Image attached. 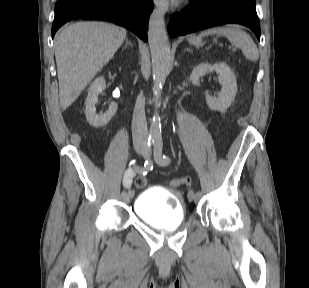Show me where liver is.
I'll return each mask as SVG.
<instances>
[{"instance_id":"6515ba94","label":"liver","mask_w":309,"mask_h":288,"mask_svg":"<svg viewBox=\"0 0 309 288\" xmlns=\"http://www.w3.org/2000/svg\"><path fill=\"white\" fill-rule=\"evenodd\" d=\"M126 30L103 22H77L55 41L60 107L66 110L123 44Z\"/></svg>"}]
</instances>
